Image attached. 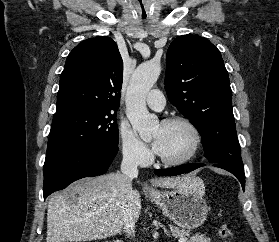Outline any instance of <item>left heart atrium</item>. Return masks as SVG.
Listing matches in <instances>:
<instances>
[{"label":"left heart atrium","mask_w":279,"mask_h":242,"mask_svg":"<svg viewBox=\"0 0 279 242\" xmlns=\"http://www.w3.org/2000/svg\"><path fill=\"white\" fill-rule=\"evenodd\" d=\"M153 149L155 152L159 153V150H160V143L158 140H154L153 142Z\"/></svg>","instance_id":"39dd6f15"}]
</instances>
